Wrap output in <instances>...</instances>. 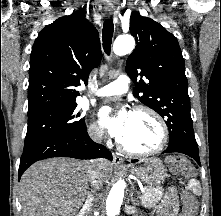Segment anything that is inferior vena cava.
<instances>
[{"label": "inferior vena cava", "mask_w": 221, "mask_h": 216, "mask_svg": "<svg viewBox=\"0 0 221 216\" xmlns=\"http://www.w3.org/2000/svg\"><path fill=\"white\" fill-rule=\"evenodd\" d=\"M103 136V132L101 130H96L91 134V137L96 142H101ZM88 179L91 183L92 189L91 192L88 193L86 204L88 205L87 215L86 216H93V202H94V194L96 191H99L102 186V181L100 178V174L97 170H95L92 166L88 168Z\"/></svg>", "instance_id": "602c4592"}]
</instances>
